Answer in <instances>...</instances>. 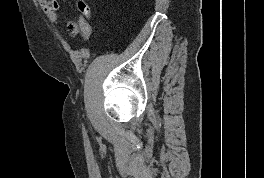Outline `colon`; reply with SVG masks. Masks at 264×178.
I'll return each mask as SVG.
<instances>
[{"label": "colon", "instance_id": "colon-1", "mask_svg": "<svg viewBox=\"0 0 264 178\" xmlns=\"http://www.w3.org/2000/svg\"><path fill=\"white\" fill-rule=\"evenodd\" d=\"M77 7L80 12V17L83 19L84 23L83 26L80 28L79 32L72 34V37H75L78 33L81 34V36L84 39H87L91 32L90 27V19H91V7L87 0H78Z\"/></svg>", "mask_w": 264, "mask_h": 178}]
</instances>
